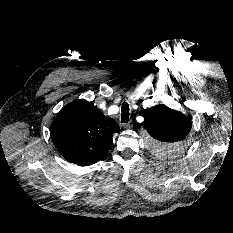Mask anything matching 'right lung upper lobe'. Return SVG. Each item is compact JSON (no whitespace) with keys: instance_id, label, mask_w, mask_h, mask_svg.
I'll use <instances>...</instances> for the list:
<instances>
[{"instance_id":"1","label":"right lung upper lobe","mask_w":233,"mask_h":233,"mask_svg":"<svg viewBox=\"0 0 233 233\" xmlns=\"http://www.w3.org/2000/svg\"><path fill=\"white\" fill-rule=\"evenodd\" d=\"M118 124L94 105L78 100L65 106L51 125L59 153L79 166L92 165L106 156Z\"/></svg>"}]
</instances>
